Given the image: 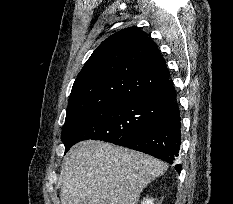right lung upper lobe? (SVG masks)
Wrapping results in <instances>:
<instances>
[{
    "label": "right lung upper lobe",
    "mask_w": 233,
    "mask_h": 204,
    "mask_svg": "<svg viewBox=\"0 0 233 204\" xmlns=\"http://www.w3.org/2000/svg\"><path fill=\"white\" fill-rule=\"evenodd\" d=\"M171 85L156 43L138 28L122 29L104 40L79 72L63 127L107 104L152 97Z\"/></svg>",
    "instance_id": "1"
}]
</instances>
